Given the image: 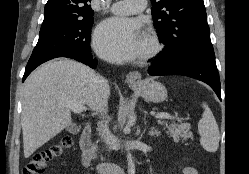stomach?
<instances>
[{
	"label": "stomach",
	"mask_w": 249,
	"mask_h": 174,
	"mask_svg": "<svg viewBox=\"0 0 249 174\" xmlns=\"http://www.w3.org/2000/svg\"><path fill=\"white\" fill-rule=\"evenodd\" d=\"M133 90L138 91L149 102L161 103L167 98L165 86L153 79H145L137 84H131Z\"/></svg>",
	"instance_id": "stomach-1"
}]
</instances>
